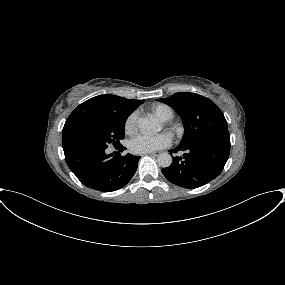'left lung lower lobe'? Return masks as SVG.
Here are the masks:
<instances>
[{
  "mask_svg": "<svg viewBox=\"0 0 285 285\" xmlns=\"http://www.w3.org/2000/svg\"><path fill=\"white\" fill-rule=\"evenodd\" d=\"M185 151L161 170L168 181L183 188H197L216 178L223 170L230 153V141L204 138L179 145L171 152Z\"/></svg>",
  "mask_w": 285,
  "mask_h": 285,
  "instance_id": "left-lung-lower-lobe-1",
  "label": "left lung lower lobe"
}]
</instances>
